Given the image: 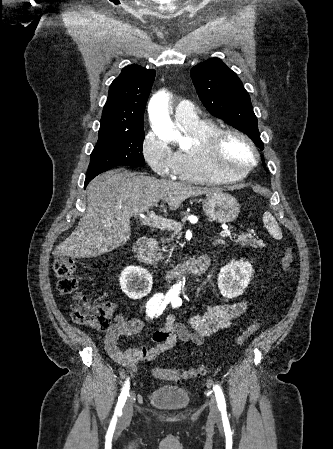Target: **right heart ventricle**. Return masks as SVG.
<instances>
[{"mask_svg": "<svg viewBox=\"0 0 333 449\" xmlns=\"http://www.w3.org/2000/svg\"><path fill=\"white\" fill-rule=\"evenodd\" d=\"M218 128L215 123L206 120H199L190 125L180 124L181 131L189 136L193 140V143L189 148H179L175 152L176 178L198 184L229 182L228 180L213 175L209 171L200 148V143Z\"/></svg>", "mask_w": 333, "mask_h": 449, "instance_id": "right-heart-ventricle-1", "label": "right heart ventricle"}]
</instances>
